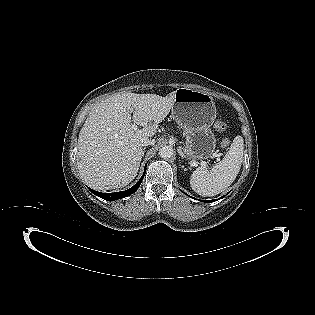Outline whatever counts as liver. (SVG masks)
Segmentation results:
<instances>
[{"label":"liver","mask_w":315,"mask_h":315,"mask_svg":"<svg viewBox=\"0 0 315 315\" xmlns=\"http://www.w3.org/2000/svg\"><path fill=\"white\" fill-rule=\"evenodd\" d=\"M174 97L175 91L166 97L127 92L97 103L78 139V169L85 182L99 190L128 185L144 155L143 139L155 135L172 109ZM132 121L143 128L133 129Z\"/></svg>","instance_id":"obj_1"}]
</instances>
